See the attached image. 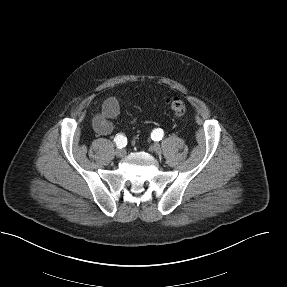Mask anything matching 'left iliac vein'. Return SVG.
Returning a JSON list of instances; mask_svg holds the SVG:
<instances>
[{"label":"left iliac vein","instance_id":"obj_1","mask_svg":"<svg viewBox=\"0 0 287 287\" xmlns=\"http://www.w3.org/2000/svg\"><path fill=\"white\" fill-rule=\"evenodd\" d=\"M152 150L158 155L161 154V147L158 143L153 144Z\"/></svg>","mask_w":287,"mask_h":287}]
</instances>
